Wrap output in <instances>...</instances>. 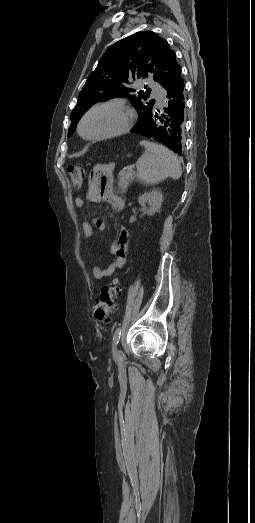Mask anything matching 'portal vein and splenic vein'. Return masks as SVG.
Segmentation results:
<instances>
[{
    "label": "portal vein and splenic vein",
    "instance_id": "18ae733b",
    "mask_svg": "<svg viewBox=\"0 0 255 523\" xmlns=\"http://www.w3.org/2000/svg\"><path fill=\"white\" fill-rule=\"evenodd\" d=\"M128 173H133V168H128Z\"/></svg>",
    "mask_w": 255,
    "mask_h": 523
}]
</instances>
